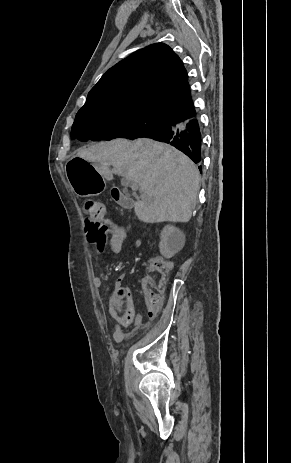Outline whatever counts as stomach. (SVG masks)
Returning a JSON list of instances; mask_svg holds the SVG:
<instances>
[{"instance_id":"1","label":"stomach","mask_w":291,"mask_h":463,"mask_svg":"<svg viewBox=\"0 0 291 463\" xmlns=\"http://www.w3.org/2000/svg\"><path fill=\"white\" fill-rule=\"evenodd\" d=\"M65 169L67 181L78 196L88 197L102 192L103 178L87 157H68Z\"/></svg>"}]
</instances>
